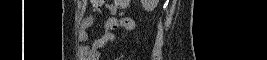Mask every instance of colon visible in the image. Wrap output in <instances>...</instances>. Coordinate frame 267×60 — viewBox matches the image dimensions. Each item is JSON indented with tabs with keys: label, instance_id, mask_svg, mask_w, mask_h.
Wrapping results in <instances>:
<instances>
[{
	"label": "colon",
	"instance_id": "obj_1",
	"mask_svg": "<svg viewBox=\"0 0 267 60\" xmlns=\"http://www.w3.org/2000/svg\"><path fill=\"white\" fill-rule=\"evenodd\" d=\"M95 5H97L98 7L101 6L104 1L102 0H93L92 1ZM130 1L129 0H116L114 1L115 4H117L120 8H122L123 5L129 3ZM124 23L120 22V21H113L110 23V26L113 28V29H116L117 27L119 26H123Z\"/></svg>",
	"mask_w": 267,
	"mask_h": 60
}]
</instances>
